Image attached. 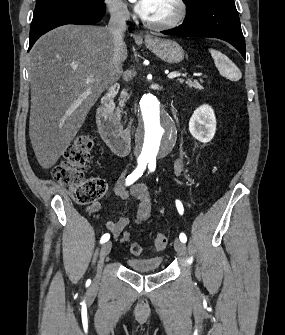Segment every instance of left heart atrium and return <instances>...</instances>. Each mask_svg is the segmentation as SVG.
Instances as JSON below:
<instances>
[{
  "instance_id": "obj_1",
  "label": "left heart atrium",
  "mask_w": 285,
  "mask_h": 335,
  "mask_svg": "<svg viewBox=\"0 0 285 335\" xmlns=\"http://www.w3.org/2000/svg\"><path fill=\"white\" fill-rule=\"evenodd\" d=\"M138 16L148 22L153 9V1H132Z\"/></svg>"
}]
</instances>
